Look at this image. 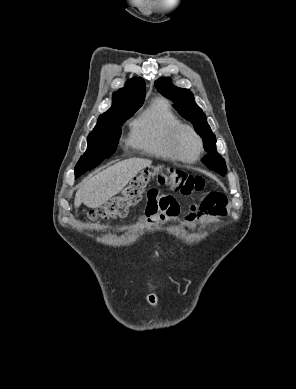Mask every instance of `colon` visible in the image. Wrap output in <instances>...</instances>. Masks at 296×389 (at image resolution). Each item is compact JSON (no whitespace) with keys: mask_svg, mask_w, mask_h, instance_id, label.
I'll return each mask as SVG.
<instances>
[{"mask_svg":"<svg viewBox=\"0 0 296 389\" xmlns=\"http://www.w3.org/2000/svg\"><path fill=\"white\" fill-rule=\"evenodd\" d=\"M156 180L161 186H168L183 196L201 193L206 188V182L201 176L166 165H157L142 171L117 196L104 205L88 213L90 220H109L127 215L130 207L138 204L143 192L150 182Z\"/></svg>","mask_w":296,"mask_h":389,"instance_id":"5ec220e1","label":"colon"}]
</instances>
